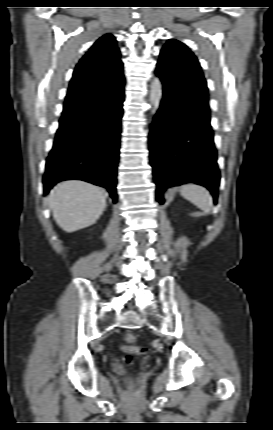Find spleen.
Wrapping results in <instances>:
<instances>
[{"instance_id":"1","label":"spleen","mask_w":273,"mask_h":430,"mask_svg":"<svg viewBox=\"0 0 273 430\" xmlns=\"http://www.w3.org/2000/svg\"><path fill=\"white\" fill-rule=\"evenodd\" d=\"M181 195L195 204L205 213H209L212 208V200L208 190L196 184H186L181 187Z\"/></svg>"}]
</instances>
